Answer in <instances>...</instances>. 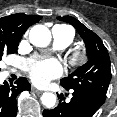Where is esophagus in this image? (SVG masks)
<instances>
[{
  "mask_svg": "<svg viewBox=\"0 0 117 117\" xmlns=\"http://www.w3.org/2000/svg\"><path fill=\"white\" fill-rule=\"evenodd\" d=\"M32 91L35 92L36 94H41L42 93L41 90H38L36 88H32Z\"/></svg>",
  "mask_w": 117,
  "mask_h": 117,
  "instance_id": "34e87169",
  "label": "esophagus"
}]
</instances>
